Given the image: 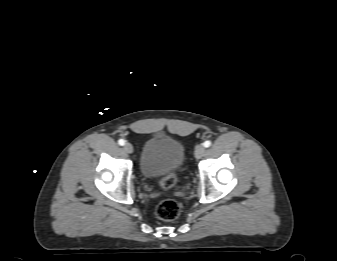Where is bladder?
I'll return each instance as SVG.
<instances>
[{
  "label": "bladder",
  "instance_id": "obj_1",
  "mask_svg": "<svg viewBox=\"0 0 337 261\" xmlns=\"http://www.w3.org/2000/svg\"><path fill=\"white\" fill-rule=\"evenodd\" d=\"M184 163L185 148L179 140L154 134L143 143L138 166L144 178L155 179L181 170Z\"/></svg>",
  "mask_w": 337,
  "mask_h": 261
}]
</instances>
